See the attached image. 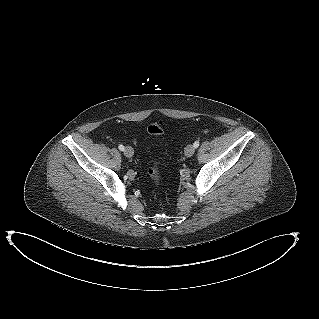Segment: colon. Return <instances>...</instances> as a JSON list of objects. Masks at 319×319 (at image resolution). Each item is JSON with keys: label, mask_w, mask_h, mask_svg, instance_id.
Instances as JSON below:
<instances>
[{"label": "colon", "mask_w": 319, "mask_h": 319, "mask_svg": "<svg viewBox=\"0 0 319 319\" xmlns=\"http://www.w3.org/2000/svg\"><path fill=\"white\" fill-rule=\"evenodd\" d=\"M163 132V123L161 121L154 122L153 124L149 125L148 133L151 135H160ZM149 177L155 183V185H159L160 183V171L157 167V164L154 163L147 171Z\"/></svg>", "instance_id": "obj_1"}]
</instances>
